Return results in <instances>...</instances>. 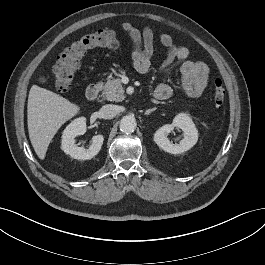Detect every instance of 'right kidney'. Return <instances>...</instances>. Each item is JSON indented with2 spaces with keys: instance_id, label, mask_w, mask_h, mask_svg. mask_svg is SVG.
<instances>
[{
  "instance_id": "1",
  "label": "right kidney",
  "mask_w": 265,
  "mask_h": 265,
  "mask_svg": "<svg viewBox=\"0 0 265 265\" xmlns=\"http://www.w3.org/2000/svg\"><path fill=\"white\" fill-rule=\"evenodd\" d=\"M86 132V119L84 117L73 120L64 130L62 135L61 149L74 159L88 160L93 158L100 151L104 137L95 135L92 138V144L89 149L78 147L75 144V138Z\"/></svg>"
}]
</instances>
